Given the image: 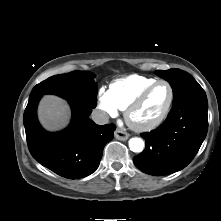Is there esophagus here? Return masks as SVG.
<instances>
[{
    "mask_svg": "<svg viewBox=\"0 0 221 221\" xmlns=\"http://www.w3.org/2000/svg\"><path fill=\"white\" fill-rule=\"evenodd\" d=\"M115 138L121 141H126L129 138V134L119 128L115 130Z\"/></svg>",
    "mask_w": 221,
    "mask_h": 221,
    "instance_id": "obj_1",
    "label": "esophagus"
}]
</instances>
